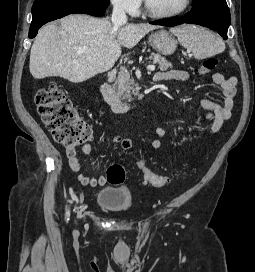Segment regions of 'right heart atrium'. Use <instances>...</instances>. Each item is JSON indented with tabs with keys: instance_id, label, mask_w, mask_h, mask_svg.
<instances>
[{
	"instance_id": "d8ad5b80",
	"label": "right heart atrium",
	"mask_w": 255,
	"mask_h": 272,
	"mask_svg": "<svg viewBox=\"0 0 255 272\" xmlns=\"http://www.w3.org/2000/svg\"><path fill=\"white\" fill-rule=\"evenodd\" d=\"M114 9L128 15H135L141 6V0H110Z\"/></svg>"
}]
</instances>
